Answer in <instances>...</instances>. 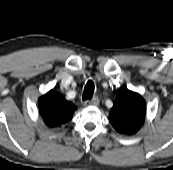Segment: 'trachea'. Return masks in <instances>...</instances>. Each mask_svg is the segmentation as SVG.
<instances>
[{"mask_svg": "<svg viewBox=\"0 0 173 170\" xmlns=\"http://www.w3.org/2000/svg\"><path fill=\"white\" fill-rule=\"evenodd\" d=\"M94 89H95V86L93 81L89 80L84 87L82 99L83 100L91 99L94 94Z\"/></svg>", "mask_w": 173, "mask_h": 170, "instance_id": "1", "label": "trachea"}]
</instances>
